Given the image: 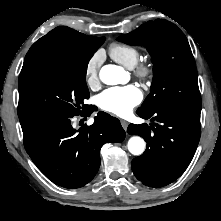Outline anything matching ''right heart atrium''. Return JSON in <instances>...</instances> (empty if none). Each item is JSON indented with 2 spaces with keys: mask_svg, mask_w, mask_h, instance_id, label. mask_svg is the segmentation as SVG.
Here are the masks:
<instances>
[{
  "mask_svg": "<svg viewBox=\"0 0 221 221\" xmlns=\"http://www.w3.org/2000/svg\"><path fill=\"white\" fill-rule=\"evenodd\" d=\"M103 62V53L94 52L86 62L84 69L85 81L89 87H95L99 83V70Z\"/></svg>",
  "mask_w": 221,
  "mask_h": 221,
  "instance_id": "obj_1",
  "label": "right heart atrium"
}]
</instances>
